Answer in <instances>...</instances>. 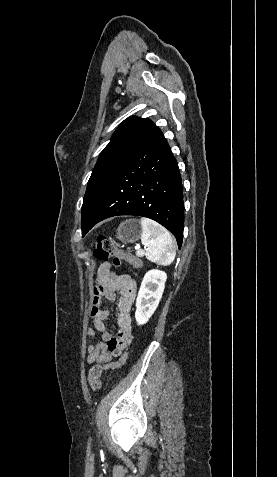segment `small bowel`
<instances>
[{"mask_svg":"<svg viewBox=\"0 0 277 477\" xmlns=\"http://www.w3.org/2000/svg\"><path fill=\"white\" fill-rule=\"evenodd\" d=\"M137 283L129 275H117L111 270L109 262H103L97 273V285L91 296L90 315L93 328H87L86 335L95 337L96 331L101 333V341L89 344L86 347L89 365H99L103 370L120 367L126 361L124 354L118 362H110L112 357L122 353L132 341L131 312L136 296ZM118 297L117 325L118 334L114 336L109 332L105 320L109 311L100 307L103 299L114 301Z\"/></svg>","mask_w":277,"mask_h":477,"instance_id":"1","label":"small bowel"}]
</instances>
